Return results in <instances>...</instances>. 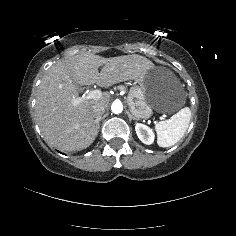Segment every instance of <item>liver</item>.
<instances>
[{
	"label": "liver",
	"mask_w": 236,
	"mask_h": 236,
	"mask_svg": "<svg viewBox=\"0 0 236 236\" xmlns=\"http://www.w3.org/2000/svg\"><path fill=\"white\" fill-rule=\"evenodd\" d=\"M155 67L151 60L136 54L105 59L81 53L57 61L46 70L38 86L35 115L43 137L60 151H78L90 146L97 134L92 108L106 107L109 94L100 99L78 98L68 73L84 84L108 86L129 79L141 81Z\"/></svg>",
	"instance_id": "1"
}]
</instances>
